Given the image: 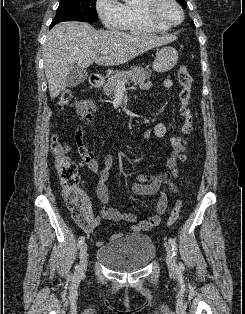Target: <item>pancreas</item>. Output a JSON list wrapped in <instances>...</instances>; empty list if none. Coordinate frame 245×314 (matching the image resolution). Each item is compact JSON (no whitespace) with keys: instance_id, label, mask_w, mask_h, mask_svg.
<instances>
[{"instance_id":"1","label":"pancreas","mask_w":245,"mask_h":314,"mask_svg":"<svg viewBox=\"0 0 245 314\" xmlns=\"http://www.w3.org/2000/svg\"><path fill=\"white\" fill-rule=\"evenodd\" d=\"M149 77L150 73L142 67H132L128 71H118L115 75L109 76L107 81L104 83V94L109 98L114 97L118 88V81H124L126 84L131 79L134 85H140L149 79Z\"/></svg>"}]
</instances>
